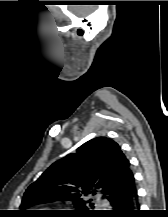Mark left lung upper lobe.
Returning a JSON list of instances; mask_svg holds the SVG:
<instances>
[{
	"label": "left lung upper lobe",
	"mask_w": 168,
	"mask_h": 217,
	"mask_svg": "<svg viewBox=\"0 0 168 217\" xmlns=\"http://www.w3.org/2000/svg\"><path fill=\"white\" fill-rule=\"evenodd\" d=\"M130 163L119 145L106 137L92 139L75 153L53 163L24 193L20 208L53 201H73L80 217H90L83 196L94 195L97 189L110 196L132 177ZM93 206L91 200H88ZM29 212V211H24Z\"/></svg>",
	"instance_id": "left-lung-upper-lobe-1"
}]
</instances>
